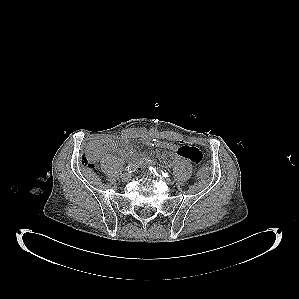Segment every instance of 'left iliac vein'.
Returning <instances> with one entry per match:
<instances>
[{
	"instance_id": "4c4485c4",
	"label": "left iliac vein",
	"mask_w": 299,
	"mask_h": 299,
	"mask_svg": "<svg viewBox=\"0 0 299 299\" xmlns=\"http://www.w3.org/2000/svg\"><path fill=\"white\" fill-rule=\"evenodd\" d=\"M149 176H151V177H156V176H154L153 174H148ZM157 179H159V178H157ZM163 181H165L166 183H170L171 182V180L169 179V178H161Z\"/></svg>"
}]
</instances>
